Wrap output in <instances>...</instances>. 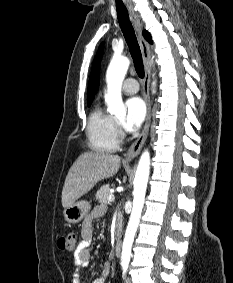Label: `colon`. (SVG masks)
<instances>
[{"label": "colon", "mask_w": 233, "mask_h": 283, "mask_svg": "<svg viewBox=\"0 0 233 283\" xmlns=\"http://www.w3.org/2000/svg\"><path fill=\"white\" fill-rule=\"evenodd\" d=\"M78 237L76 233L71 232L58 240L60 249L68 252H75L77 250Z\"/></svg>", "instance_id": "obj_1"}]
</instances>
